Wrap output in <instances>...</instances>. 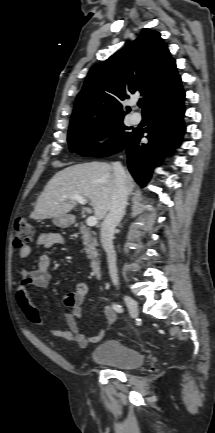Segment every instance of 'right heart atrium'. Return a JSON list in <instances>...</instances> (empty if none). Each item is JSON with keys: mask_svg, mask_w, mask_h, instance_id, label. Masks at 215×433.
I'll list each match as a JSON object with an SVG mask.
<instances>
[{"mask_svg": "<svg viewBox=\"0 0 215 433\" xmlns=\"http://www.w3.org/2000/svg\"><path fill=\"white\" fill-rule=\"evenodd\" d=\"M107 140V134L106 133H102L99 137V142L102 144Z\"/></svg>", "mask_w": 215, "mask_h": 433, "instance_id": "1", "label": "right heart atrium"}]
</instances>
